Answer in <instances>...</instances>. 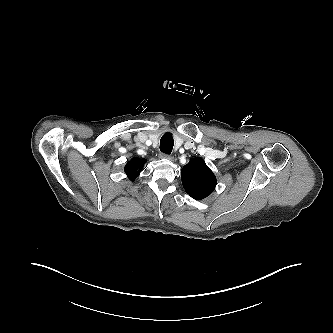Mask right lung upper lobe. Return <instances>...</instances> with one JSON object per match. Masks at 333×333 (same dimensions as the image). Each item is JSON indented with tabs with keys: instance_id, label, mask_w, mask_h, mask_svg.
<instances>
[{
	"instance_id": "1",
	"label": "right lung upper lobe",
	"mask_w": 333,
	"mask_h": 333,
	"mask_svg": "<svg viewBox=\"0 0 333 333\" xmlns=\"http://www.w3.org/2000/svg\"><path fill=\"white\" fill-rule=\"evenodd\" d=\"M146 160L133 158L130 162H128L125 166V172L130 180L136 179V177L140 174L142 167L144 166Z\"/></svg>"
}]
</instances>
